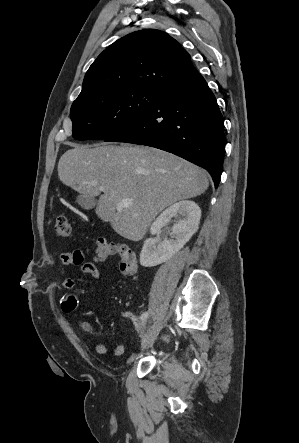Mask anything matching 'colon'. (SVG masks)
Returning <instances> with one entry per match:
<instances>
[{
	"mask_svg": "<svg viewBox=\"0 0 299 443\" xmlns=\"http://www.w3.org/2000/svg\"><path fill=\"white\" fill-rule=\"evenodd\" d=\"M55 232L62 238L72 237V227L64 215H58L55 220ZM94 257L97 261H105L118 257L119 268L124 276L131 277L137 272V260L134 251L122 243L99 239L94 246Z\"/></svg>",
	"mask_w": 299,
	"mask_h": 443,
	"instance_id": "obj_1",
	"label": "colon"
}]
</instances>
